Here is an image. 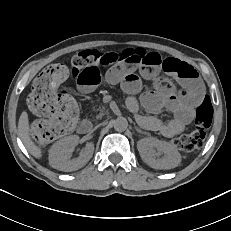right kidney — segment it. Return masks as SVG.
Instances as JSON below:
<instances>
[{"instance_id":"1","label":"right kidney","mask_w":231,"mask_h":231,"mask_svg":"<svg viewBox=\"0 0 231 231\" xmlns=\"http://www.w3.org/2000/svg\"><path fill=\"white\" fill-rule=\"evenodd\" d=\"M78 141L79 136L71 135L55 142L49 150V164L65 172L75 171L86 165L93 155L94 144L87 143L78 158L70 159Z\"/></svg>"}]
</instances>
